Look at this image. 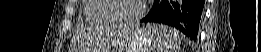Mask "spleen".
<instances>
[{
  "label": "spleen",
  "instance_id": "3e777b00",
  "mask_svg": "<svg viewBox=\"0 0 261 52\" xmlns=\"http://www.w3.org/2000/svg\"><path fill=\"white\" fill-rule=\"evenodd\" d=\"M155 37L157 52H176L178 49L179 33L162 25L148 26Z\"/></svg>",
  "mask_w": 261,
  "mask_h": 52
}]
</instances>
